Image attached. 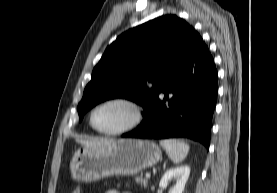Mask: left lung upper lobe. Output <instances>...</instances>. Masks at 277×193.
Returning a JSON list of instances; mask_svg holds the SVG:
<instances>
[{
    "mask_svg": "<svg viewBox=\"0 0 277 193\" xmlns=\"http://www.w3.org/2000/svg\"><path fill=\"white\" fill-rule=\"evenodd\" d=\"M199 34L186 21L166 15L132 28L106 48L78 105L79 120L101 101L122 97L145 112L190 54Z\"/></svg>",
    "mask_w": 277,
    "mask_h": 193,
    "instance_id": "1",
    "label": "left lung upper lobe"
}]
</instances>
